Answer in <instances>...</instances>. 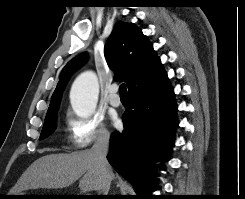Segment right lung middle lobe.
Here are the masks:
<instances>
[{
    "mask_svg": "<svg viewBox=\"0 0 245 199\" xmlns=\"http://www.w3.org/2000/svg\"><path fill=\"white\" fill-rule=\"evenodd\" d=\"M56 114H57V111L46 116L45 122L43 125V129L40 135V140L48 137L50 134L54 132L55 127H56Z\"/></svg>",
    "mask_w": 245,
    "mask_h": 199,
    "instance_id": "obj_1",
    "label": "right lung middle lobe"
}]
</instances>
